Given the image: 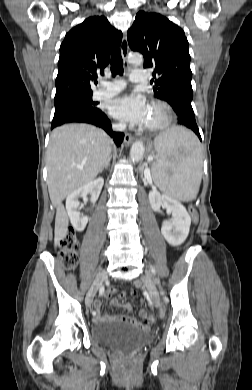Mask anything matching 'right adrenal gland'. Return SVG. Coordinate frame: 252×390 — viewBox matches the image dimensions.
Returning <instances> with one entry per match:
<instances>
[{
    "label": "right adrenal gland",
    "instance_id": "1",
    "mask_svg": "<svg viewBox=\"0 0 252 390\" xmlns=\"http://www.w3.org/2000/svg\"><path fill=\"white\" fill-rule=\"evenodd\" d=\"M111 156L109 157L108 161L104 164L102 169L100 170V173L103 171V169H107L110 166Z\"/></svg>",
    "mask_w": 252,
    "mask_h": 390
}]
</instances>
